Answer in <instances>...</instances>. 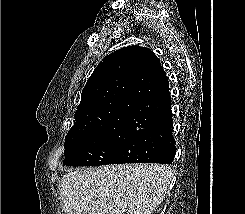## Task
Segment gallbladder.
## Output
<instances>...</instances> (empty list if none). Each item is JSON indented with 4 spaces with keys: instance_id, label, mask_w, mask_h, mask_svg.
Instances as JSON below:
<instances>
[{
    "instance_id": "obj_1",
    "label": "gallbladder",
    "mask_w": 245,
    "mask_h": 214,
    "mask_svg": "<svg viewBox=\"0 0 245 214\" xmlns=\"http://www.w3.org/2000/svg\"><path fill=\"white\" fill-rule=\"evenodd\" d=\"M83 214H90V213H86V212H84Z\"/></svg>"
}]
</instances>
